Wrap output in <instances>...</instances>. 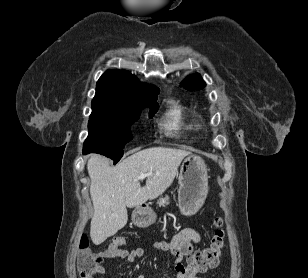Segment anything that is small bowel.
<instances>
[{
  "instance_id": "1",
  "label": "small bowel",
  "mask_w": 308,
  "mask_h": 278,
  "mask_svg": "<svg viewBox=\"0 0 308 278\" xmlns=\"http://www.w3.org/2000/svg\"><path fill=\"white\" fill-rule=\"evenodd\" d=\"M201 236L198 231L192 227H186L179 231L170 242H157L154 244V249L157 251L168 252L175 260V277L176 278H203L199 277L200 271L192 266H184L181 260L184 256L193 253V245L198 243ZM149 251L145 248H135L127 250L119 248V250H105L101 253L102 259H124L130 263L137 259L148 255ZM104 272L102 267L100 274ZM138 278H145L140 275Z\"/></svg>"
}]
</instances>
